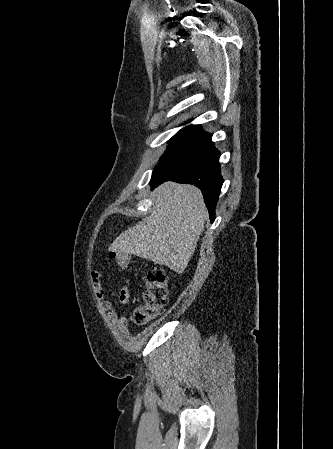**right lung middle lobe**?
Here are the masks:
<instances>
[{"instance_id":"dd1d6c3e","label":"right lung middle lobe","mask_w":333,"mask_h":449,"mask_svg":"<svg viewBox=\"0 0 333 449\" xmlns=\"http://www.w3.org/2000/svg\"><path fill=\"white\" fill-rule=\"evenodd\" d=\"M201 131L202 130H200V129H193V128H184V129L180 130L169 140V147H168L167 151L164 153V155H162L160 160L163 161L173 151H175L176 149H178L179 147L184 145L186 142H188L189 140L194 138Z\"/></svg>"}]
</instances>
